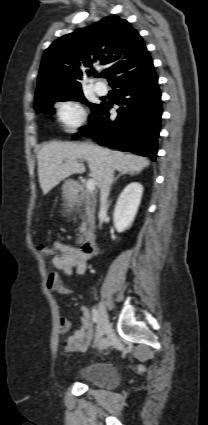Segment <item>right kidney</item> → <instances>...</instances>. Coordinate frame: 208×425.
I'll use <instances>...</instances> for the list:
<instances>
[{
  "mask_svg": "<svg viewBox=\"0 0 208 425\" xmlns=\"http://www.w3.org/2000/svg\"><path fill=\"white\" fill-rule=\"evenodd\" d=\"M142 194L143 186L139 182H132L119 195L113 213L114 226L118 232H123L131 226Z\"/></svg>",
  "mask_w": 208,
  "mask_h": 425,
  "instance_id": "ca27d5eb",
  "label": "right kidney"
}]
</instances>
